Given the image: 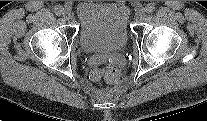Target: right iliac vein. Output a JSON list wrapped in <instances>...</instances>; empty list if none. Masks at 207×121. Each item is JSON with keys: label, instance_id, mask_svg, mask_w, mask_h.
<instances>
[{"label": "right iliac vein", "instance_id": "1", "mask_svg": "<svg viewBox=\"0 0 207 121\" xmlns=\"http://www.w3.org/2000/svg\"><path fill=\"white\" fill-rule=\"evenodd\" d=\"M62 15H63L64 19H66V20H70L72 17L71 12L67 9L63 10Z\"/></svg>", "mask_w": 207, "mask_h": 121}]
</instances>
